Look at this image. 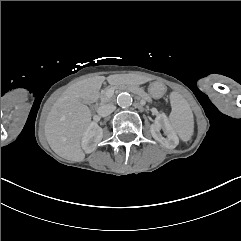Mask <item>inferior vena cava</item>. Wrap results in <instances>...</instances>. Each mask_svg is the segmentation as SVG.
I'll return each mask as SVG.
<instances>
[{"instance_id": "obj_1", "label": "inferior vena cava", "mask_w": 241, "mask_h": 241, "mask_svg": "<svg viewBox=\"0 0 241 241\" xmlns=\"http://www.w3.org/2000/svg\"><path fill=\"white\" fill-rule=\"evenodd\" d=\"M116 107L113 104H104L98 108V115L101 117H106L115 111Z\"/></svg>"}]
</instances>
